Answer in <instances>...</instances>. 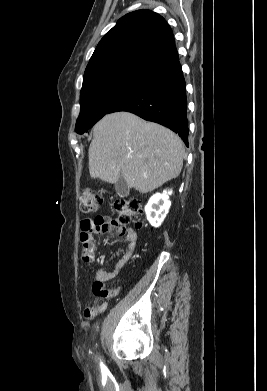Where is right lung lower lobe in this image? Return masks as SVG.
I'll use <instances>...</instances> for the list:
<instances>
[{
	"instance_id": "obj_1",
	"label": "right lung lower lobe",
	"mask_w": 267,
	"mask_h": 391,
	"mask_svg": "<svg viewBox=\"0 0 267 391\" xmlns=\"http://www.w3.org/2000/svg\"><path fill=\"white\" fill-rule=\"evenodd\" d=\"M127 111L177 133L188 146L186 85L179 59L152 72L148 79L109 113Z\"/></svg>"
}]
</instances>
